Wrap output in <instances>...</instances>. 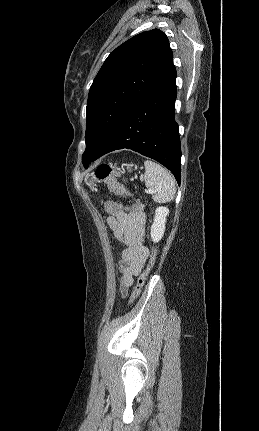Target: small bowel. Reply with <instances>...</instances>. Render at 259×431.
<instances>
[{
    "label": "small bowel",
    "instance_id": "small-bowel-1",
    "mask_svg": "<svg viewBox=\"0 0 259 431\" xmlns=\"http://www.w3.org/2000/svg\"><path fill=\"white\" fill-rule=\"evenodd\" d=\"M125 218L109 217L108 224L112 229L117 245L121 248L118 268L120 271V292L126 296L134 283V278L142 270L149 251L145 246L146 216L143 211H125Z\"/></svg>",
    "mask_w": 259,
    "mask_h": 431
}]
</instances>
